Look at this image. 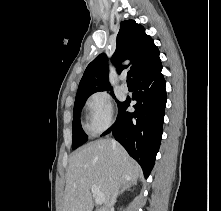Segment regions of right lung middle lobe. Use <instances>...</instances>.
<instances>
[{
  "label": "right lung middle lobe",
  "mask_w": 221,
  "mask_h": 211,
  "mask_svg": "<svg viewBox=\"0 0 221 211\" xmlns=\"http://www.w3.org/2000/svg\"><path fill=\"white\" fill-rule=\"evenodd\" d=\"M111 94L113 95V93ZM89 96L90 95H84L82 97L75 99L74 110H73V125H72V130H73L72 149L78 148L80 145H82L87 141V135L84 133L81 127L80 113L86 99ZM121 103L122 102L117 101L118 107L121 105Z\"/></svg>",
  "instance_id": "obj_1"
}]
</instances>
